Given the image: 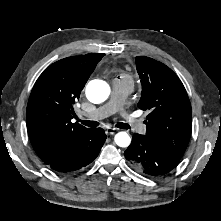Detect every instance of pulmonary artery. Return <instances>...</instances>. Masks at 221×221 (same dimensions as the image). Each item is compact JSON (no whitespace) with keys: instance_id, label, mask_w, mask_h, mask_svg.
I'll return each mask as SVG.
<instances>
[{"instance_id":"e3ab8cb5","label":"pulmonary artery","mask_w":221,"mask_h":221,"mask_svg":"<svg viewBox=\"0 0 221 221\" xmlns=\"http://www.w3.org/2000/svg\"><path fill=\"white\" fill-rule=\"evenodd\" d=\"M132 91V83L115 80L112 86L111 100L92 112L87 113L85 117L88 120H100L115 112H119L122 115L124 122L128 124L131 129L136 132H142L145 128L143 122L139 118L128 114L124 108V100Z\"/></svg>"}]
</instances>
